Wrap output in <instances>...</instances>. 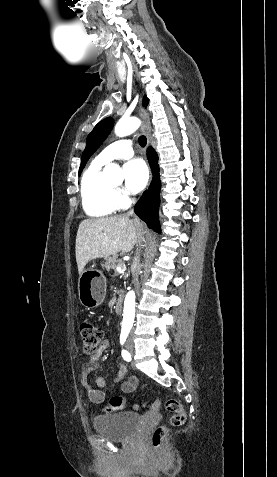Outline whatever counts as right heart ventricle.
I'll return each instance as SVG.
<instances>
[{
	"label": "right heart ventricle",
	"instance_id": "1",
	"mask_svg": "<svg viewBox=\"0 0 277 477\" xmlns=\"http://www.w3.org/2000/svg\"><path fill=\"white\" fill-rule=\"evenodd\" d=\"M105 163L94 159L84 171L80 194L84 212L90 217H106L113 214L118 205L115 191L103 174Z\"/></svg>",
	"mask_w": 277,
	"mask_h": 477
}]
</instances>
